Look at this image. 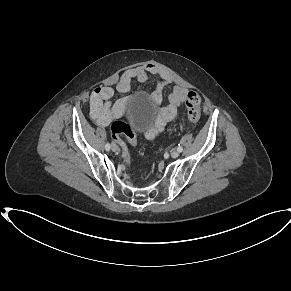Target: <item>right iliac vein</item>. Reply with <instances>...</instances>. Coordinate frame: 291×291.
Segmentation results:
<instances>
[{"label":"right iliac vein","instance_id":"obj_1","mask_svg":"<svg viewBox=\"0 0 291 291\" xmlns=\"http://www.w3.org/2000/svg\"><path fill=\"white\" fill-rule=\"evenodd\" d=\"M111 149H112V151L117 152L119 148L116 144L113 143L111 146Z\"/></svg>","mask_w":291,"mask_h":291}]
</instances>
